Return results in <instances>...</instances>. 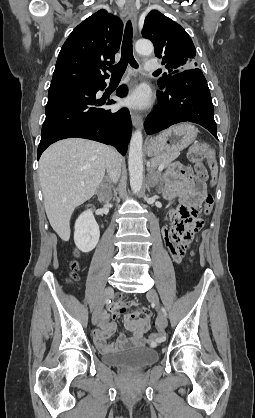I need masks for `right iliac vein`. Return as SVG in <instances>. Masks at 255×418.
I'll use <instances>...</instances> for the list:
<instances>
[{"label":"right iliac vein","mask_w":255,"mask_h":418,"mask_svg":"<svg viewBox=\"0 0 255 418\" xmlns=\"http://www.w3.org/2000/svg\"><path fill=\"white\" fill-rule=\"evenodd\" d=\"M113 292L114 291L111 287H107L105 289V291L103 292V294H102V296H101V298H100V300H99V302H98V304H97V306H96V308L93 312V315H92V323L93 324H96L98 322V320L101 316L103 307H104L105 303L107 302V300H109L112 297Z\"/></svg>","instance_id":"right-iliac-vein-1"}]
</instances>
